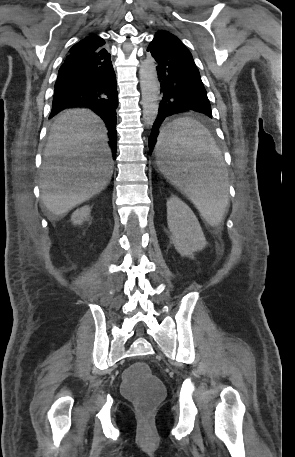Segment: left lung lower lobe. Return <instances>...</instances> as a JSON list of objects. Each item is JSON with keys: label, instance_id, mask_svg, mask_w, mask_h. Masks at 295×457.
Segmentation results:
<instances>
[{"label": "left lung lower lobe", "instance_id": "0a47b994", "mask_svg": "<svg viewBox=\"0 0 295 457\" xmlns=\"http://www.w3.org/2000/svg\"><path fill=\"white\" fill-rule=\"evenodd\" d=\"M147 51L157 64L162 100L149 137L150 153L158 141L160 125L173 114L195 111L212 118L211 105L191 55L153 38Z\"/></svg>", "mask_w": 295, "mask_h": 457}]
</instances>
